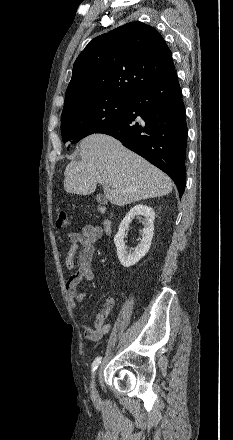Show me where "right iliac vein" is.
Listing matches in <instances>:
<instances>
[{
    "mask_svg": "<svg viewBox=\"0 0 233 440\" xmlns=\"http://www.w3.org/2000/svg\"><path fill=\"white\" fill-rule=\"evenodd\" d=\"M91 391L94 395H96V384H95V374H93L92 382H91Z\"/></svg>",
    "mask_w": 233,
    "mask_h": 440,
    "instance_id": "1",
    "label": "right iliac vein"
}]
</instances>
